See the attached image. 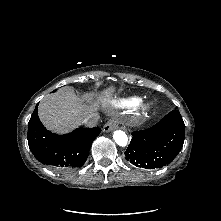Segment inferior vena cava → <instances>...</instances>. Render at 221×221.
I'll list each match as a JSON object with an SVG mask.
<instances>
[{"instance_id":"inferior-vena-cava-1","label":"inferior vena cava","mask_w":221,"mask_h":221,"mask_svg":"<svg viewBox=\"0 0 221 221\" xmlns=\"http://www.w3.org/2000/svg\"><path fill=\"white\" fill-rule=\"evenodd\" d=\"M99 119H100V116L98 114H92V115L85 117L82 123L86 127H95L98 124Z\"/></svg>"}]
</instances>
